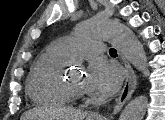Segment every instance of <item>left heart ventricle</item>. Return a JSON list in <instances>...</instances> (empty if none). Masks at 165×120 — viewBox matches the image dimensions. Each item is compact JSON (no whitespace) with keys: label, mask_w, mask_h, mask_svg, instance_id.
I'll use <instances>...</instances> for the list:
<instances>
[{"label":"left heart ventricle","mask_w":165,"mask_h":120,"mask_svg":"<svg viewBox=\"0 0 165 120\" xmlns=\"http://www.w3.org/2000/svg\"><path fill=\"white\" fill-rule=\"evenodd\" d=\"M69 82L77 87V88H80L82 90H84L85 92L87 91L86 89V77L82 74H79V75H76L74 77H72Z\"/></svg>","instance_id":"b2bd125f"}]
</instances>
